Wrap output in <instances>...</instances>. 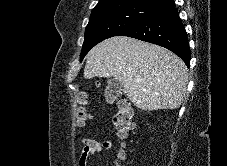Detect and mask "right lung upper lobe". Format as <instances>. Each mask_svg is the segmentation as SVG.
I'll use <instances>...</instances> for the list:
<instances>
[{"instance_id":"cb5924a9","label":"right lung upper lobe","mask_w":227,"mask_h":166,"mask_svg":"<svg viewBox=\"0 0 227 166\" xmlns=\"http://www.w3.org/2000/svg\"><path fill=\"white\" fill-rule=\"evenodd\" d=\"M166 1L167 0H99V3L95 6L93 11L104 7L119 5L123 3H139L158 7Z\"/></svg>"}]
</instances>
